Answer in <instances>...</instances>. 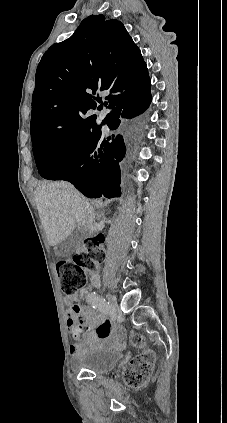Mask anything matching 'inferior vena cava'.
<instances>
[{
	"instance_id": "1",
	"label": "inferior vena cava",
	"mask_w": 227,
	"mask_h": 423,
	"mask_svg": "<svg viewBox=\"0 0 227 423\" xmlns=\"http://www.w3.org/2000/svg\"><path fill=\"white\" fill-rule=\"evenodd\" d=\"M83 206H84V208H86V213H87L89 225H94L95 215L92 211V208H90L88 202H85V204H83ZM91 279H95V281H98L99 275H98L97 271H91Z\"/></svg>"
}]
</instances>
